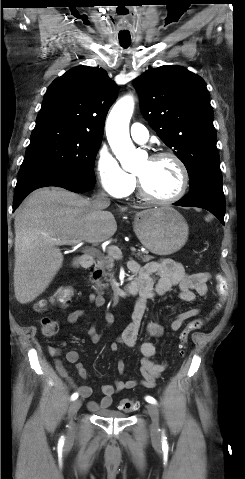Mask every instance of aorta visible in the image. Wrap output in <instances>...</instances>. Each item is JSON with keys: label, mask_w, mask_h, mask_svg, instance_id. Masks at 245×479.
Masks as SVG:
<instances>
[{"label": "aorta", "mask_w": 245, "mask_h": 479, "mask_svg": "<svg viewBox=\"0 0 245 479\" xmlns=\"http://www.w3.org/2000/svg\"><path fill=\"white\" fill-rule=\"evenodd\" d=\"M133 110V97L130 95L125 96L114 105L106 123V135L109 145L123 169L130 172L136 169L139 161L129 135V122Z\"/></svg>", "instance_id": "1"}]
</instances>
